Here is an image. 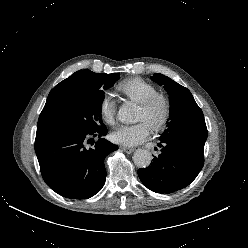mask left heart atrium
<instances>
[{
    "label": "left heart atrium",
    "instance_id": "left-heart-atrium-1",
    "mask_svg": "<svg viewBox=\"0 0 248 248\" xmlns=\"http://www.w3.org/2000/svg\"><path fill=\"white\" fill-rule=\"evenodd\" d=\"M151 133V126L145 121L135 124L118 126L112 133L111 139L124 146H135L144 142Z\"/></svg>",
    "mask_w": 248,
    "mask_h": 248
}]
</instances>
